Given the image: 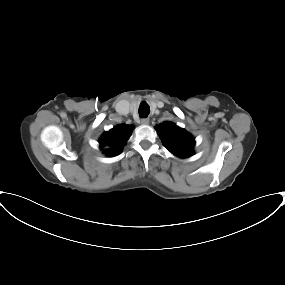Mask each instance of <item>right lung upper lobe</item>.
<instances>
[{
    "instance_id": "1",
    "label": "right lung upper lobe",
    "mask_w": 285,
    "mask_h": 285,
    "mask_svg": "<svg viewBox=\"0 0 285 285\" xmlns=\"http://www.w3.org/2000/svg\"><path fill=\"white\" fill-rule=\"evenodd\" d=\"M132 128L133 126L121 124L114 127L109 132H105L99 140L100 147L102 149L104 148L103 152L107 156L118 155L130 137Z\"/></svg>"
}]
</instances>
